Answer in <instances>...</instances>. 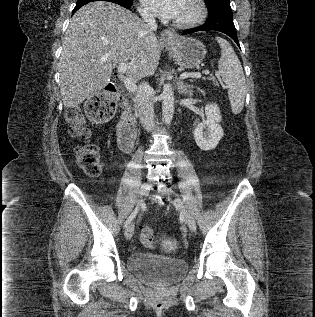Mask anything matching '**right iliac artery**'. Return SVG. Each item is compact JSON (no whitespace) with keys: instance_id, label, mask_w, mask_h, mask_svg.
<instances>
[{"instance_id":"1","label":"right iliac artery","mask_w":315,"mask_h":317,"mask_svg":"<svg viewBox=\"0 0 315 317\" xmlns=\"http://www.w3.org/2000/svg\"><path fill=\"white\" fill-rule=\"evenodd\" d=\"M139 212V207H136L134 209V211L131 213V215L128 217V219L126 220L125 224H124V227L127 228L128 225L133 221V219L136 217V215L138 214Z\"/></svg>"}]
</instances>
